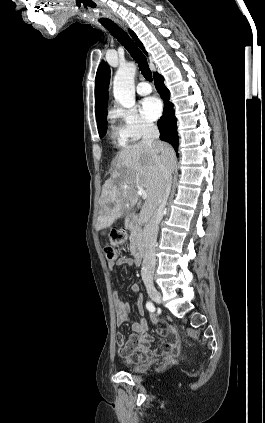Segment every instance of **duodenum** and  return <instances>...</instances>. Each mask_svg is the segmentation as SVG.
<instances>
[{
    "instance_id": "1",
    "label": "duodenum",
    "mask_w": 265,
    "mask_h": 423,
    "mask_svg": "<svg viewBox=\"0 0 265 423\" xmlns=\"http://www.w3.org/2000/svg\"><path fill=\"white\" fill-rule=\"evenodd\" d=\"M129 230L131 233V241H130L131 251L135 257L136 262L140 263L143 258V249L141 246L140 237L138 233L137 221L135 219H132L130 221Z\"/></svg>"
}]
</instances>
